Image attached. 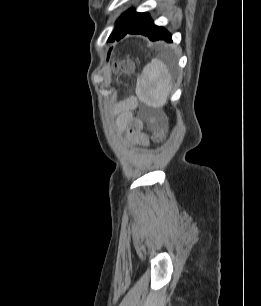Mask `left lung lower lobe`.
I'll return each instance as SVG.
<instances>
[{
  "mask_svg": "<svg viewBox=\"0 0 261 306\" xmlns=\"http://www.w3.org/2000/svg\"><path fill=\"white\" fill-rule=\"evenodd\" d=\"M126 34H142L148 36L152 41L165 40L172 42L171 35L163 28L154 25L147 13H137L129 26L121 33L118 40Z\"/></svg>",
  "mask_w": 261,
  "mask_h": 306,
  "instance_id": "left-lung-lower-lobe-1",
  "label": "left lung lower lobe"
}]
</instances>
